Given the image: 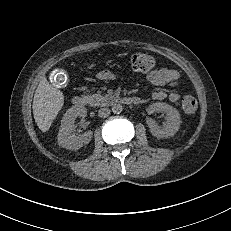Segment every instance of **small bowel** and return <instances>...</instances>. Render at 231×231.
Segmentation results:
<instances>
[{
	"label": "small bowel",
	"mask_w": 231,
	"mask_h": 231,
	"mask_svg": "<svg viewBox=\"0 0 231 231\" xmlns=\"http://www.w3.org/2000/svg\"><path fill=\"white\" fill-rule=\"evenodd\" d=\"M116 76L109 70H102L96 74V78L100 80L114 79ZM148 81L157 87L170 86L175 87L180 81V74L178 71L167 68H159L151 71L147 75ZM152 98L155 100H163L168 98L171 102H178L181 98V94L174 90L167 93L164 90H157L152 93Z\"/></svg>",
	"instance_id": "small-bowel-1"
}]
</instances>
